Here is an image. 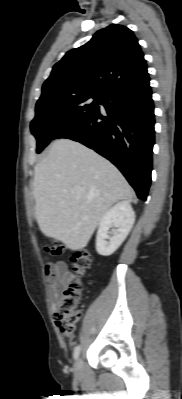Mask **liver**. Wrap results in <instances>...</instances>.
<instances>
[{"label": "liver", "instance_id": "1", "mask_svg": "<svg viewBox=\"0 0 182 399\" xmlns=\"http://www.w3.org/2000/svg\"><path fill=\"white\" fill-rule=\"evenodd\" d=\"M35 213L42 233L71 250L83 249L107 210L134 191L108 160L70 139H58L36 164ZM83 188L79 193L77 188Z\"/></svg>", "mask_w": 182, "mask_h": 399}]
</instances>
